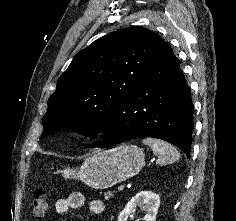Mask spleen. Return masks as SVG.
<instances>
[{"instance_id":"3e777b00","label":"spleen","mask_w":236,"mask_h":221,"mask_svg":"<svg viewBox=\"0 0 236 221\" xmlns=\"http://www.w3.org/2000/svg\"><path fill=\"white\" fill-rule=\"evenodd\" d=\"M142 142L151 147L153 153L158 157L156 163L160 166L171 164L180 159V153L168 142L156 138H145Z\"/></svg>"}]
</instances>
